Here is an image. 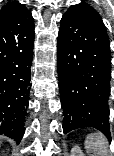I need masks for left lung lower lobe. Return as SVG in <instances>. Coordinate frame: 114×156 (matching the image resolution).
I'll use <instances>...</instances> for the list:
<instances>
[{
    "instance_id": "0a47b994",
    "label": "left lung lower lobe",
    "mask_w": 114,
    "mask_h": 156,
    "mask_svg": "<svg viewBox=\"0 0 114 156\" xmlns=\"http://www.w3.org/2000/svg\"><path fill=\"white\" fill-rule=\"evenodd\" d=\"M57 69L64 133L94 127L111 140L110 42L100 15L84 2L71 6L61 19Z\"/></svg>"
}]
</instances>
